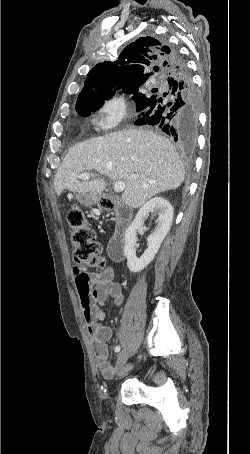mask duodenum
<instances>
[{
    "label": "duodenum",
    "instance_id": "duodenum-1",
    "mask_svg": "<svg viewBox=\"0 0 250 454\" xmlns=\"http://www.w3.org/2000/svg\"><path fill=\"white\" fill-rule=\"evenodd\" d=\"M113 203L115 201L112 200ZM115 231L109 242V255L113 261L124 258L125 231L131 219V213L124 207H119L115 212Z\"/></svg>",
    "mask_w": 250,
    "mask_h": 454
}]
</instances>
